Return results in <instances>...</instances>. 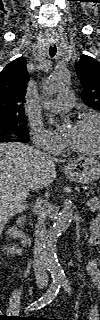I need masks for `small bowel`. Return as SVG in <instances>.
I'll return each mask as SVG.
<instances>
[{
  "instance_id": "c3829d8e",
  "label": "small bowel",
  "mask_w": 100,
  "mask_h": 320,
  "mask_svg": "<svg viewBox=\"0 0 100 320\" xmlns=\"http://www.w3.org/2000/svg\"><path fill=\"white\" fill-rule=\"evenodd\" d=\"M95 226H98L97 222H94L92 225V230ZM99 228V226H98ZM92 245V244H91ZM94 246V245H92ZM98 246V245H97ZM87 273L89 274L92 283L99 287L100 286V261L99 260H92L86 266Z\"/></svg>"
}]
</instances>
